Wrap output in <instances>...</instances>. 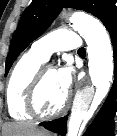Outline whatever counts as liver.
<instances>
[{"instance_id":"6515ba94","label":"liver","mask_w":117,"mask_h":136,"mask_svg":"<svg viewBox=\"0 0 117 136\" xmlns=\"http://www.w3.org/2000/svg\"><path fill=\"white\" fill-rule=\"evenodd\" d=\"M4 136H47V132L31 123H8L4 126Z\"/></svg>"}]
</instances>
